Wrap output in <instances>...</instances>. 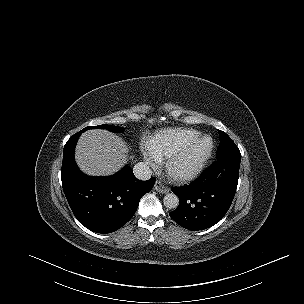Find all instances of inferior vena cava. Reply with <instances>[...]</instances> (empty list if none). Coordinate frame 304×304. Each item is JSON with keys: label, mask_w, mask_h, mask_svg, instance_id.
<instances>
[{"label": "inferior vena cava", "mask_w": 304, "mask_h": 304, "mask_svg": "<svg viewBox=\"0 0 304 304\" xmlns=\"http://www.w3.org/2000/svg\"><path fill=\"white\" fill-rule=\"evenodd\" d=\"M133 172L136 178L139 180H148L152 175V170L145 162H138L133 167Z\"/></svg>", "instance_id": "1"}]
</instances>
